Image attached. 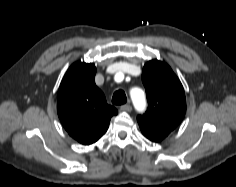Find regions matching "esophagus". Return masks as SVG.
Instances as JSON below:
<instances>
[{
    "instance_id": "obj_1",
    "label": "esophagus",
    "mask_w": 236,
    "mask_h": 187,
    "mask_svg": "<svg viewBox=\"0 0 236 187\" xmlns=\"http://www.w3.org/2000/svg\"><path fill=\"white\" fill-rule=\"evenodd\" d=\"M120 110L125 112H130L132 110V106L129 104H125L120 107Z\"/></svg>"
}]
</instances>
